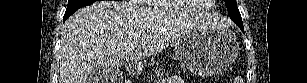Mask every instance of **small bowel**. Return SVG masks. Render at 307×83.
Instances as JSON below:
<instances>
[{
	"label": "small bowel",
	"instance_id": "small-bowel-1",
	"mask_svg": "<svg viewBox=\"0 0 307 83\" xmlns=\"http://www.w3.org/2000/svg\"><path fill=\"white\" fill-rule=\"evenodd\" d=\"M164 83H184V81L178 76H171Z\"/></svg>",
	"mask_w": 307,
	"mask_h": 83
}]
</instances>
